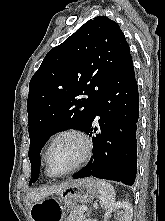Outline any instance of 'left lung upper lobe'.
<instances>
[{
	"instance_id": "obj_1",
	"label": "left lung upper lobe",
	"mask_w": 165,
	"mask_h": 221,
	"mask_svg": "<svg viewBox=\"0 0 165 221\" xmlns=\"http://www.w3.org/2000/svg\"><path fill=\"white\" fill-rule=\"evenodd\" d=\"M130 56L119 25L105 16L87 21L47 53L29 84V185L38 179L40 153L50 136L66 128L83 130L100 95Z\"/></svg>"
}]
</instances>
